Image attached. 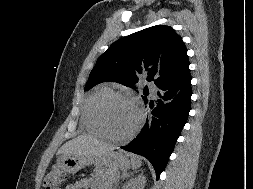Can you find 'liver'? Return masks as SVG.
I'll use <instances>...</instances> for the list:
<instances>
[{
    "label": "liver",
    "mask_w": 253,
    "mask_h": 189,
    "mask_svg": "<svg viewBox=\"0 0 253 189\" xmlns=\"http://www.w3.org/2000/svg\"><path fill=\"white\" fill-rule=\"evenodd\" d=\"M113 148L90 135H81L66 142L57 152L61 155H85L99 157Z\"/></svg>",
    "instance_id": "obj_1"
}]
</instances>
